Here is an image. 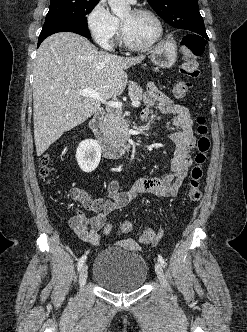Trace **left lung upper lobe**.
<instances>
[{
    "label": "left lung upper lobe",
    "mask_w": 247,
    "mask_h": 332,
    "mask_svg": "<svg viewBox=\"0 0 247 332\" xmlns=\"http://www.w3.org/2000/svg\"><path fill=\"white\" fill-rule=\"evenodd\" d=\"M148 3L171 26L208 39L197 0H148Z\"/></svg>",
    "instance_id": "1"
}]
</instances>
